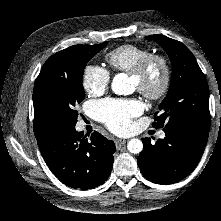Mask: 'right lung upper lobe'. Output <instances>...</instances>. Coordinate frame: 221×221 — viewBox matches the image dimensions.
I'll use <instances>...</instances> for the list:
<instances>
[{"mask_svg":"<svg viewBox=\"0 0 221 221\" xmlns=\"http://www.w3.org/2000/svg\"><path fill=\"white\" fill-rule=\"evenodd\" d=\"M75 46L66 48L56 54L64 53L72 50ZM34 104V133L37 138H40L48 131L56 127L54 119L52 118L50 112L33 96Z\"/></svg>","mask_w":221,"mask_h":221,"instance_id":"cb5924a9","label":"right lung upper lobe"}]
</instances>
